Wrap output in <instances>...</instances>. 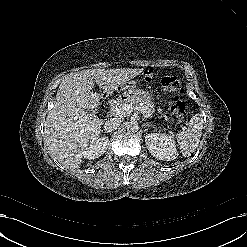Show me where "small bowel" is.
<instances>
[{"label": "small bowel", "instance_id": "c3829d8e", "mask_svg": "<svg viewBox=\"0 0 247 247\" xmlns=\"http://www.w3.org/2000/svg\"><path fill=\"white\" fill-rule=\"evenodd\" d=\"M153 76H154V70L152 68L144 71L142 75L143 79L146 81H151L153 79Z\"/></svg>", "mask_w": 247, "mask_h": 247}]
</instances>
